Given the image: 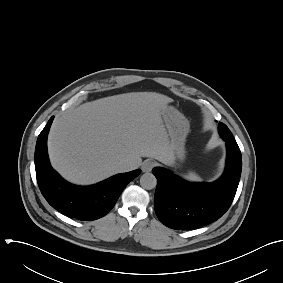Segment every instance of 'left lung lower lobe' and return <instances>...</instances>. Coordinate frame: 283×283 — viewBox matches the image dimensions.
Segmentation results:
<instances>
[{
    "label": "left lung lower lobe",
    "instance_id": "0a47b994",
    "mask_svg": "<svg viewBox=\"0 0 283 283\" xmlns=\"http://www.w3.org/2000/svg\"><path fill=\"white\" fill-rule=\"evenodd\" d=\"M227 146L226 168L213 183H189L156 167L155 212L167 227L197 229L219 219L230 207L239 184L242 157L235 139L223 138Z\"/></svg>",
    "mask_w": 283,
    "mask_h": 283
}]
</instances>
